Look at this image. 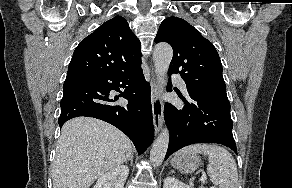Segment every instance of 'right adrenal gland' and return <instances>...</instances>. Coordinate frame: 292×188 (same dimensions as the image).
I'll return each instance as SVG.
<instances>
[{
	"mask_svg": "<svg viewBox=\"0 0 292 188\" xmlns=\"http://www.w3.org/2000/svg\"><path fill=\"white\" fill-rule=\"evenodd\" d=\"M128 161H130V164H133V154H131V156L125 161V163H127Z\"/></svg>",
	"mask_w": 292,
	"mask_h": 188,
	"instance_id": "2a0ac1e0",
	"label": "right adrenal gland"
}]
</instances>
